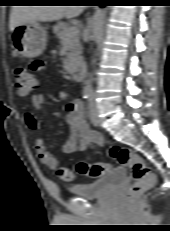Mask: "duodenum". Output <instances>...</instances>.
Masks as SVG:
<instances>
[{
  "instance_id": "duodenum-1",
  "label": "duodenum",
  "mask_w": 170,
  "mask_h": 231,
  "mask_svg": "<svg viewBox=\"0 0 170 231\" xmlns=\"http://www.w3.org/2000/svg\"><path fill=\"white\" fill-rule=\"evenodd\" d=\"M70 70L72 71L73 75L78 79H82L85 76L86 69L83 63L75 65L73 68H70Z\"/></svg>"
}]
</instances>
